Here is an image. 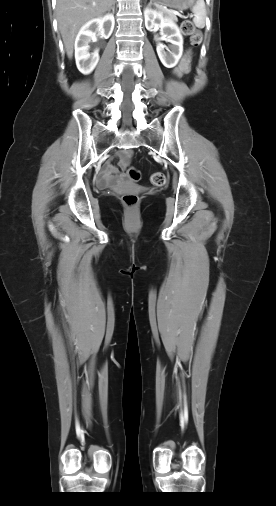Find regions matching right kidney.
I'll return each instance as SVG.
<instances>
[{"mask_svg":"<svg viewBox=\"0 0 276 506\" xmlns=\"http://www.w3.org/2000/svg\"><path fill=\"white\" fill-rule=\"evenodd\" d=\"M114 24V15L106 14L88 21L81 27L75 40L76 65L81 73H91L99 61L98 49L89 53L91 40H96L97 33L101 38H109L113 32Z\"/></svg>","mask_w":276,"mask_h":506,"instance_id":"ca27d5eb","label":"right kidney"}]
</instances>
